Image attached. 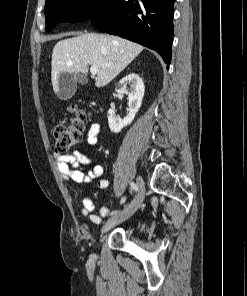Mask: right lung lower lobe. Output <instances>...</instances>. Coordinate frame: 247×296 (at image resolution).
<instances>
[{
	"mask_svg": "<svg viewBox=\"0 0 247 296\" xmlns=\"http://www.w3.org/2000/svg\"><path fill=\"white\" fill-rule=\"evenodd\" d=\"M175 0H110L105 11L95 13L92 25L158 52L171 62Z\"/></svg>",
	"mask_w": 247,
	"mask_h": 296,
	"instance_id": "right-lung-lower-lobe-1",
	"label": "right lung lower lobe"
}]
</instances>
